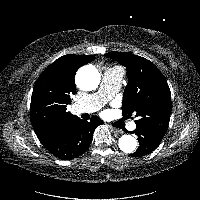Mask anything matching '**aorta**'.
<instances>
[{
  "mask_svg": "<svg viewBox=\"0 0 200 200\" xmlns=\"http://www.w3.org/2000/svg\"><path fill=\"white\" fill-rule=\"evenodd\" d=\"M100 83V73L94 66H83L76 74V84L84 91H92ZM118 146L125 153H133L137 148V140L131 135H122Z\"/></svg>",
  "mask_w": 200,
  "mask_h": 200,
  "instance_id": "1",
  "label": "aorta"
}]
</instances>
